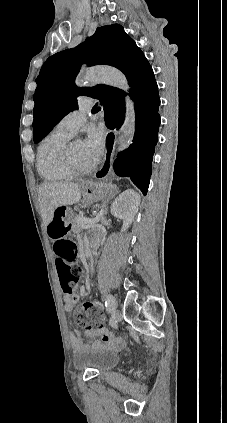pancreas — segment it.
<instances>
[{"instance_id": "1", "label": "pancreas", "mask_w": 227, "mask_h": 423, "mask_svg": "<svg viewBox=\"0 0 227 423\" xmlns=\"http://www.w3.org/2000/svg\"><path fill=\"white\" fill-rule=\"evenodd\" d=\"M80 217H84V215L80 213V215H76V217L72 219V231H74V233H78V231H83V229H89V227H92V225H89V227L82 225Z\"/></svg>"}]
</instances>
